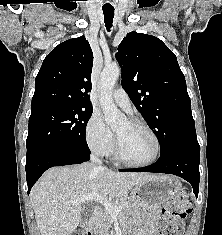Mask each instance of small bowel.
<instances>
[{"label":"small bowel","mask_w":222,"mask_h":235,"mask_svg":"<svg viewBox=\"0 0 222 235\" xmlns=\"http://www.w3.org/2000/svg\"><path fill=\"white\" fill-rule=\"evenodd\" d=\"M159 215L156 211H153L147 222L146 229L139 232L137 235H157L156 229L158 224Z\"/></svg>","instance_id":"obj_1"}]
</instances>
